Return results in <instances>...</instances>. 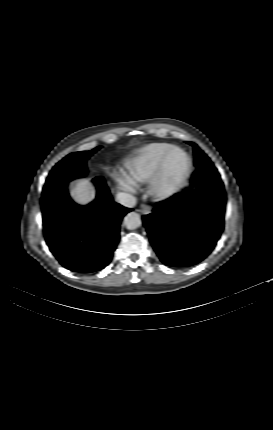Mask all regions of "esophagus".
Listing matches in <instances>:
<instances>
[{
  "instance_id": "esophagus-1",
  "label": "esophagus",
  "mask_w": 273,
  "mask_h": 430,
  "mask_svg": "<svg viewBox=\"0 0 273 430\" xmlns=\"http://www.w3.org/2000/svg\"><path fill=\"white\" fill-rule=\"evenodd\" d=\"M151 206L149 205H142L139 212L143 215H148L151 213Z\"/></svg>"
}]
</instances>
